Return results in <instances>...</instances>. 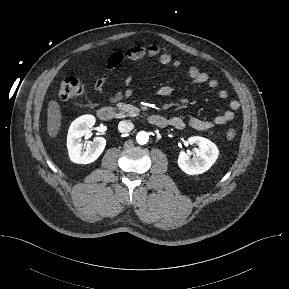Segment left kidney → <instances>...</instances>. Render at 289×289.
I'll return each instance as SVG.
<instances>
[{
	"instance_id": "1",
	"label": "left kidney",
	"mask_w": 289,
	"mask_h": 289,
	"mask_svg": "<svg viewBox=\"0 0 289 289\" xmlns=\"http://www.w3.org/2000/svg\"><path fill=\"white\" fill-rule=\"evenodd\" d=\"M188 143L196 144L199 150L196 157L193 158L181 151L178 157L180 169L189 175H199L210 169L219 155L217 146L210 140L200 136L190 137Z\"/></svg>"
}]
</instances>
